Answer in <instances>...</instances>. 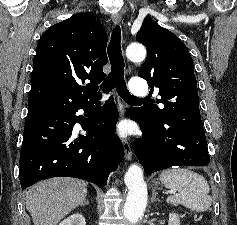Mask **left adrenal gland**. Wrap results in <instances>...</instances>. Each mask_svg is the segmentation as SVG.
<instances>
[{"label":"left adrenal gland","instance_id":"obj_1","mask_svg":"<svg viewBox=\"0 0 237 225\" xmlns=\"http://www.w3.org/2000/svg\"><path fill=\"white\" fill-rule=\"evenodd\" d=\"M156 194H157V193H156L155 191H153L152 198H151V201H152V202H155V201L160 202V199H157V198H156Z\"/></svg>","mask_w":237,"mask_h":225}]
</instances>
